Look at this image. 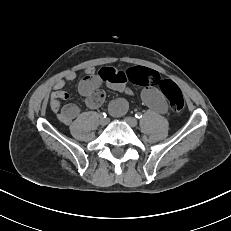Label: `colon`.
<instances>
[{
  "label": "colon",
  "instance_id": "1",
  "mask_svg": "<svg viewBox=\"0 0 231 231\" xmlns=\"http://www.w3.org/2000/svg\"><path fill=\"white\" fill-rule=\"evenodd\" d=\"M126 75L128 81L138 86H159L174 112H181L184 109L182 92L173 81L162 79L157 72L143 67L129 69Z\"/></svg>",
  "mask_w": 231,
  "mask_h": 231
}]
</instances>
